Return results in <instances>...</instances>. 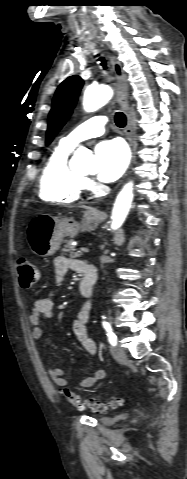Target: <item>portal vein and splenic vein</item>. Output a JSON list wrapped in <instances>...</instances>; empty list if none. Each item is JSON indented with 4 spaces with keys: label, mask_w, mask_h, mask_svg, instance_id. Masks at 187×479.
Returning a JSON list of instances; mask_svg holds the SVG:
<instances>
[{
    "label": "portal vein and splenic vein",
    "mask_w": 187,
    "mask_h": 479,
    "mask_svg": "<svg viewBox=\"0 0 187 479\" xmlns=\"http://www.w3.org/2000/svg\"><path fill=\"white\" fill-rule=\"evenodd\" d=\"M78 252H89V249L85 248V247H80L79 251Z\"/></svg>",
    "instance_id": "1"
}]
</instances>
